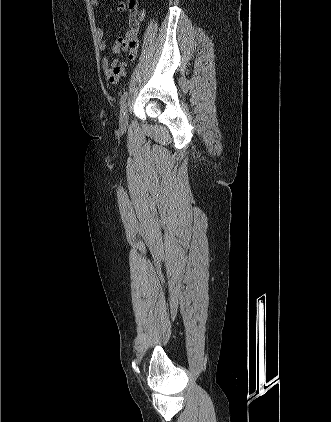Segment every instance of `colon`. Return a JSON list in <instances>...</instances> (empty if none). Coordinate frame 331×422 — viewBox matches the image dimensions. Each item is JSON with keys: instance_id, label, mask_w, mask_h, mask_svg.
<instances>
[{"instance_id": "obj_1", "label": "colon", "mask_w": 331, "mask_h": 422, "mask_svg": "<svg viewBox=\"0 0 331 422\" xmlns=\"http://www.w3.org/2000/svg\"><path fill=\"white\" fill-rule=\"evenodd\" d=\"M119 8L129 13L130 21L135 22L141 18V14L137 9L136 0H120Z\"/></svg>"}]
</instances>
